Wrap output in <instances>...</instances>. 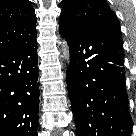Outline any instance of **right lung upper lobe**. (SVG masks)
Wrapping results in <instances>:
<instances>
[{"label":"right lung upper lobe","mask_w":136,"mask_h":136,"mask_svg":"<svg viewBox=\"0 0 136 136\" xmlns=\"http://www.w3.org/2000/svg\"><path fill=\"white\" fill-rule=\"evenodd\" d=\"M29 0H0V51L22 45L37 35Z\"/></svg>","instance_id":"1"}]
</instances>
